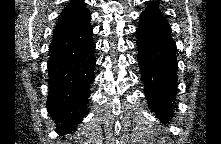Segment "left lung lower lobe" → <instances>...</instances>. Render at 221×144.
<instances>
[{"instance_id":"0a47b994","label":"left lung lower lobe","mask_w":221,"mask_h":144,"mask_svg":"<svg viewBox=\"0 0 221 144\" xmlns=\"http://www.w3.org/2000/svg\"><path fill=\"white\" fill-rule=\"evenodd\" d=\"M138 65L148 105L168 123L177 92L176 45L164 17L141 14L137 28Z\"/></svg>"}]
</instances>
